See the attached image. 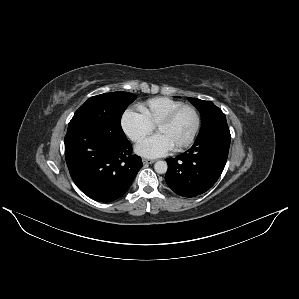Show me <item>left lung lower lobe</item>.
I'll return each instance as SVG.
<instances>
[{
    "label": "left lung lower lobe",
    "mask_w": 299,
    "mask_h": 299,
    "mask_svg": "<svg viewBox=\"0 0 299 299\" xmlns=\"http://www.w3.org/2000/svg\"><path fill=\"white\" fill-rule=\"evenodd\" d=\"M230 140L228 127L217 128L196 138L186 152L166 159L165 180L171 190L184 197H195L209 190L225 167Z\"/></svg>",
    "instance_id": "left-lung-lower-lobe-1"
}]
</instances>
